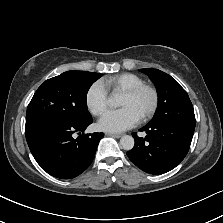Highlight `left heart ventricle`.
Here are the masks:
<instances>
[{
    "label": "left heart ventricle",
    "instance_id": "b2bd125f",
    "mask_svg": "<svg viewBox=\"0 0 223 223\" xmlns=\"http://www.w3.org/2000/svg\"><path fill=\"white\" fill-rule=\"evenodd\" d=\"M151 101L152 98L150 93L145 91L134 98L122 95L120 100V106L131 107L138 114V116L141 117L142 114H144L149 109Z\"/></svg>",
    "mask_w": 223,
    "mask_h": 223
}]
</instances>
